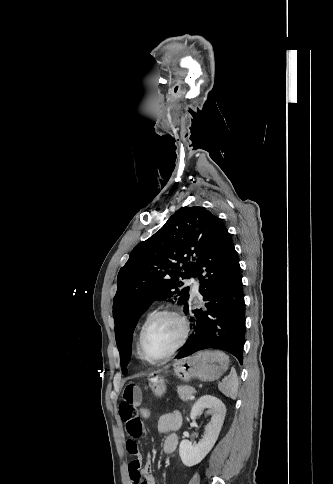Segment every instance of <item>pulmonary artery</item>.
Wrapping results in <instances>:
<instances>
[{
	"label": "pulmonary artery",
	"instance_id": "pulmonary-artery-1",
	"mask_svg": "<svg viewBox=\"0 0 333 484\" xmlns=\"http://www.w3.org/2000/svg\"><path fill=\"white\" fill-rule=\"evenodd\" d=\"M190 283L193 285V293L194 295H199V285L200 282L197 278L190 279Z\"/></svg>",
	"mask_w": 333,
	"mask_h": 484
}]
</instances>
